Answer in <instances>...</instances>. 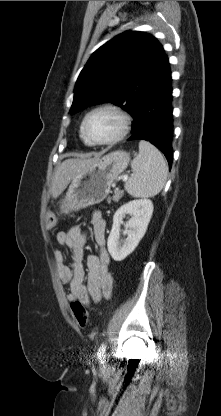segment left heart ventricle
Returning <instances> with one entry per match:
<instances>
[{
    "label": "left heart ventricle",
    "mask_w": 221,
    "mask_h": 416,
    "mask_svg": "<svg viewBox=\"0 0 221 416\" xmlns=\"http://www.w3.org/2000/svg\"><path fill=\"white\" fill-rule=\"evenodd\" d=\"M120 128L119 118L110 111L93 114L86 125V131L94 140H106L117 134Z\"/></svg>",
    "instance_id": "1"
}]
</instances>
